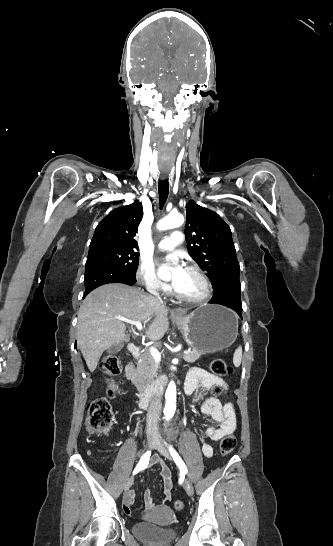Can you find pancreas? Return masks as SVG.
I'll list each match as a JSON object with an SVG mask.
<instances>
[{
  "label": "pancreas",
  "instance_id": "obj_1",
  "mask_svg": "<svg viewBox=\"0 0 333 546\" xmlns=\"http://www.w3.org/2000/svg\"><path fill=\"white\" fill-rule=\"evenodd\" d=\"M204 352L193 349L190 353L184 355V359L188 363H194L200 359ZM158 365L154 358L147 350L140 355V360L137 362L136 372L132 375L131 380L139 391H144L148 384L152 383L157 376Z\"/></svg>",
  "mask_w": 333,
  "mask_h": 546
}]
</instances>
